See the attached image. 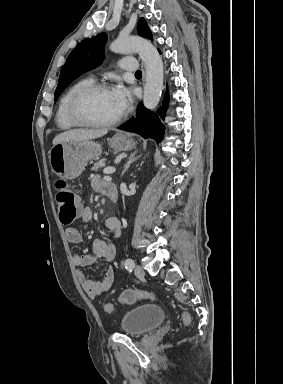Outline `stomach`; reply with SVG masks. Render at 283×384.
<instances>
[{
  "instance_id": "1",
  "label": "stomach",
  "mask_w": 283,
  "mask_h": 384,
  "mask_svg": "<svg viewBox=\"0 0 283 384\" xmlns=\"http://www.w3.org/2000/svg\"><path fill=\"white\" fill-rule=\"evenodd\" d=\"M109 146L116 152H126V150H134L135 142L123 134H116L109 140ZM101 154L100 144L91 140L60 142L51 148L49 162L56 176L65 180H75L82 174L87 162L100 158Z\"/></svg>"
}]
</instances>
